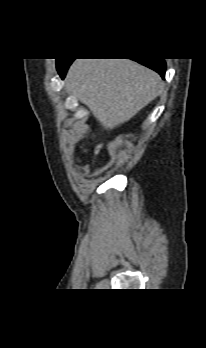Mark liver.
I'll use <instances>...</instances> for the list:
<instances>
[{
    "instance_id": "6515ba94",
    "label": "liver",
    "mask_w": 206,
    "mask_h": 348,
    "mask_svg": "<svg viewBox=\"0 0 206 348\" xmlns=\"http://www.w3.org/2000/svg\"><path fill=\"white\" fill-rule=\"evenodd\" d=\"M65 83L106 130L129 121L164 88L155 71L130 59H77Z\"/></svg>"
}]
</instances>
